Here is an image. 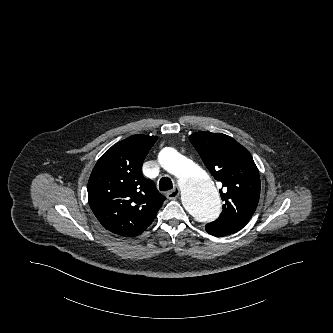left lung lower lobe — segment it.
I'll return each instance as SVG.
<instances>
[{
	"label": "left lung lower lobe",
	"mask_w": 333,
	"mask_h": 333,
	"mask_svg": "<svg viewBox=\"0 0 333 333\" xmlns=\"http://www.w3.org/2000/svg\"><path fill=\"white\" fill-rule=\"evenodd\" d=\"M205 229L209 234L217 237H222L239 231L225 226H218L213 223L206 224Z\"/></svg>",
	"instance_id": "obj_1"
}]
</instances>
